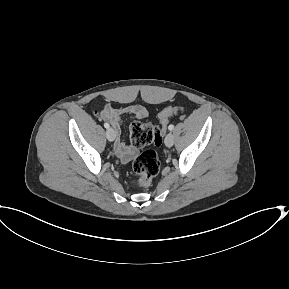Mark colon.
I'll return each mask as SVG.
<instances>
[{
  "mask_svg": "<svg viewBox=\"0 0 289 289\" xmlns=\"http://www.w3.org/2000/svg\"><path fill=\"white\" fill-rule=\"evenodd\" d=\"M181 111L180 107H167L159 115L161 126L152 122H133L130 126L132 143L139 148L155 145L160 146L163 139V127L168 123L170 117ZM160 162L153 150L141 153L133 162V171L136 178L133 185L147 188L151 186L154 177L158 174Z\"/></svg>",
  "mask_w": 289,
  "mask_h": 289,
  "instance_id": "colon-1",
  "label": "colon"
}]
</instances>
